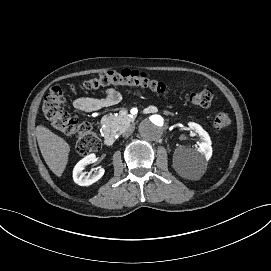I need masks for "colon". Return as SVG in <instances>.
<instances>
[{
    "label": "colon",
    "mask_w": 271,
    "mask_h": 271,
    "mask_svg": "<svg viewBox=\"0 0 271 271\" xmlns=\"http://www.w3.org/2000/svg\"><path fill=\"white\" fill-rule=\"evenodd\" d=\"M137 86L156 93H167L170 88L163 82L152 79L147 73L124 69L120 72H103L96 74L82 83L84 89H98L105 86ZM184 97L193 105L208 107L213 100L210 89L183 92ZM65 91L61 87H53L45 94L41 108L51 126L66 135H77L76 151L85 156L100 148V140L90 124L81 122L76 116L64 110ZM232 120L227 113L216 114L213 127L217 132L227 131Z\"/></svg>",
    "instance_id": "obj_1"
}]
</instances>
